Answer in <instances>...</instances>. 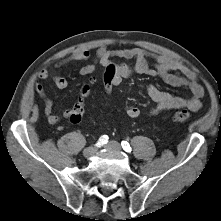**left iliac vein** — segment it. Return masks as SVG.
<instances>
[{
	"label": "left iliac vein",
	"mask_w": 221,
	"mask_h": 221,
	"mask_svg": "<svg viewBox=\"0 0 221 221\" xmlns=\"http://www.w3.org/2000/svg\"><path fill=\"white\" fill-rule=\"evenodd\" d=\"M104 148L114 151V152H120L121 151V145L116 141H110L108 144L104 146Z\"/></svg>",
	"instance_id": "left-iliac-vein-1"
}]
</instances>
